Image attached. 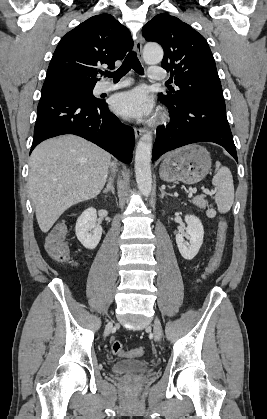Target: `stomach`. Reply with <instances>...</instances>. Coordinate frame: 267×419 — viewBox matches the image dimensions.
<instances>
[{"mask_svg": "<svg viewBox=\"0 0 267 419\" xmlns=\"http://www.w3.org/2000/svg\"><path fill=\"white\" fill-rule=\"evenodd\" d=\"M211 156L206 148L191 144L167 154L159 169L162 180L195 184L208 174Z\"/></svg>", "mask_w": 267, "mask_h": 419, "instance_id": "stomach-1", "label": "stomach"}]
</instances>
